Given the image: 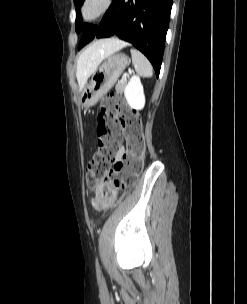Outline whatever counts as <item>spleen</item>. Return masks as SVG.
<instances>
[{
    "label": "spleen",
    "instance_id": "spleen-1",
    "mask_svg": "<svg viewBox=\"0 0 247 304\" xmlns=\"http://www.w3.org/2000/svg\"><path fill=\"white\" fill-rule=\"evenodd\" d=\"M136 72L142 77H152L153 68L149 60L137 49L130 50Z\"/></svg>",
    "mask_w": 247,
    "mask_h": 304
}]
</instances>
